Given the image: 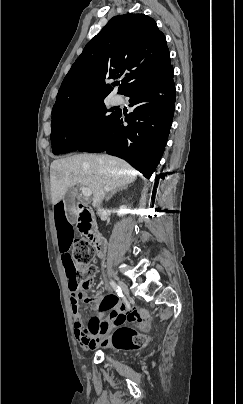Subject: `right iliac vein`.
<instances>
[{"label": "right iliac vein", "instance_id": "1", "mask_svg": "<svg viewBox=\"0 0 243 404\" xmlns=\"http://www.w3.org/2000/svg\"><path fill=\"white\" fill-rule=\"evenodd\" d=\"M118 284L120 286V288L123 290V292L125 293L126 296L129 295V289L128 286L121 280L117 279Z\"/></svg>", "mask_w": 243, "mask_h": 404}]
</instances>
